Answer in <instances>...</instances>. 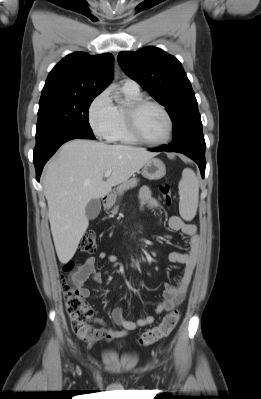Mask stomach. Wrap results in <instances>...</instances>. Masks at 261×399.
<instances>
[{"mask_svg":"<svg viewBox=\"0 0 261 399\" xmlns=\"http://www.w3.org/2000/svg\"><path fill=\"white\" fill-rule=\"evenodd\" d=\"M142 174L149 180H158L165 176L166 166L160 159L152 158L143 166ZM115 201L116 195L110 194L106 201V205L110 207L114 205Z\"/></svg>","mask_w":261,"mask_h":399,"instance_id":"stomach-1","label":"stomach"}]
</instances>
